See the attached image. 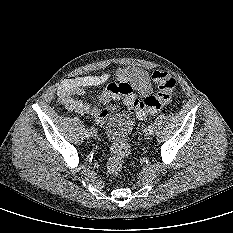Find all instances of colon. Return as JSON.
I'll return each instance as SVG.
<instances>
[{
  "label": "colon",
  "instance_id": "obj_1",
  "mask_svg": "<svg viewBox=\"0 0 233 233\" xmlns=\"http://www.w3.org/2000/svg\"><path fill=\"white\" fill-rule=\"evenodd\" d=\"M157 86L154 95L139 100L127 85L120 86V93L124 102L138 117L145 118L150 114L157 113L166 105L172 97L175 89V80L164 71H155L152 75ZM107 111L103 110L99 117H104ZM130 153V144L127 138L117 140L111 147V153L107 161V170L111 175H118L123 167L124 159Z\"/></svg>",
  "mask_w": 233,
  "mask_h": 233
}]
</instances>
